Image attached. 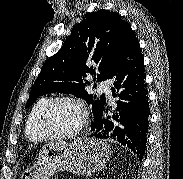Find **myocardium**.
I'll return each mask as SVG.
<instances>
[{
	"mask_svg": "<svg viewBox=\"0 0 183 179\" xmlns=\"http://www.w3.org/2000/svg\"><path fill=\"white\" fill-rule=\"evenodd\" d=\"M59 102H70L76 105L81 112V121L79 125L72 131L67 132V133H53L50 132L46 126H45V118L49 112V110ZM89 120V115L87 108L85 104L80 100L79 98L73 97V96H57L54 98L49 99L46 104L43 106L41 109L38 120H37V125L39 131L46 137V138H51V139H69L77 136L79 133L82 132V130L86 127L87 123Z\"/></svg>",
	"mask_w": 183,
	"mask_h": 179,
	"instance_id": "obj_1",
	"label": "myocardium"
}]
</instances>
